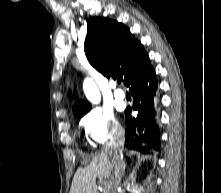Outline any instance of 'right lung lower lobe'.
Here are the masks:
<instances>
[{
    "label": "right lung lower lobe",
    "mask_w": 221,
    "mask_h": 193,
    "mask_svg": "<svg viewBox=\"0 0 221 193\" xmlns=\"http://www.w3.org/2000/svg\"><path fill=\"white\" fill-rule=\"evenodd\" d=\"M126 86L129 87L134 98L133 109L138 111L137 117L133 118L130 116V108L125 111L126 146L142 153H148L150 149L158 150L160 146L159 129H154L157 79L149 59L130 76Z\"/></svg>",
    "instance_id": "obj_1"
}]
</instances>
